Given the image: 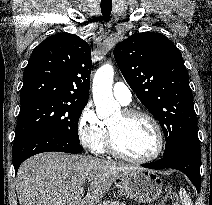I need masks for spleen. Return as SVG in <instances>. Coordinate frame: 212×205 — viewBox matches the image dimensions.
<instances>
[{
	"label": "spleen",
	"mask_w": 212,
	"mask_h": 205,
	"mask_svg": "<svg viewBox=\"0 0 212 205\" xmlns=\"http://www.w3.org/2000/svg\"><path fill=\"white\" fill-rule=\"evenodd\" d=\"M179 196H180V200H181L182 205H193L192 200H191L189 194L186 192L185 189L180 188Z\"/></svg>",
	"instance_id": "obj_1"
}]
</instances>
